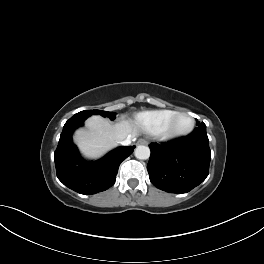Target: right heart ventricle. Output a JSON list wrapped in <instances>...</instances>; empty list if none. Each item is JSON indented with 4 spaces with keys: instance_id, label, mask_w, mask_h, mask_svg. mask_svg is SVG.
I'll return each instance as SVG.
<instances>
[{
    "instance_id": "right-heart-ventricle-1",
    "label": "right heart ventricle",
    "mask_w": 264,
    "mask_h": 264,
    "mask_svg": "<svg viewBox=\"0 0 264 264\" xmlns=\"http://www.w3.org/2000/svg\"><path fill=\"white\" fill-rule=\"evenodd\" d=\"M176 113L174 110H155L137 115V122L149 134L162 132L169 120Z\"/></svg>"
}]
</instances>
